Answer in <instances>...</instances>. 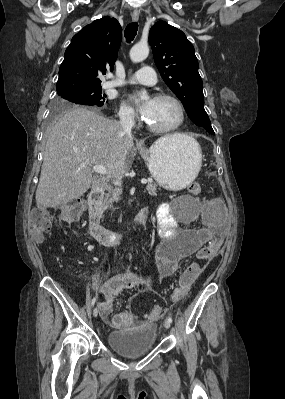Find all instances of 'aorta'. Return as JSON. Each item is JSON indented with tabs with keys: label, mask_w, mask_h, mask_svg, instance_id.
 <instances>
[{
	"label": "aorta",
	"mask_w": 285,
	"mask_h": 399,
	"mask_svg": "<svg viewBox=\"0 0 285 399\" xmlns=\"http://www.w3.org/2000/svg\"><path fill=\"white\" fill-rule=\"evenodd\" d=\"M149 47L147 43H137L130 50V59L134 63L141 62L148 57ZM149 97L146 92L141 94L142 100H147Z\"/></svg>",
	"instance_id": "1"
}]
</instances>
